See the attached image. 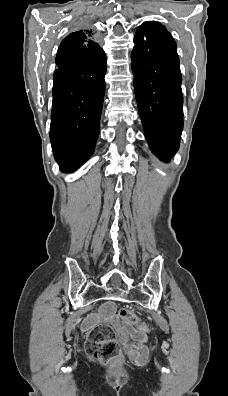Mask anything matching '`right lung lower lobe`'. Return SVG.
I'll return each mask as SVG.
<instances>
[{
	"label": "right lung lower lobe",
	"mask_w": 228,
	"mask_h": 396,
	"mask_svg": "<svg viewBox=\"0 0 228 396\" xmlns=\"http://www.w3.org/2000/svg\"><path fill=\"white\" fill-rule=\"evenodd\" d=\"M54 72L50 140L60 169L73 172L94 152L105 92L104 50L60 44Z\"/></svg>",
	"instance_id": "right-lung-lower-lobe-1"
}]
</instances>
